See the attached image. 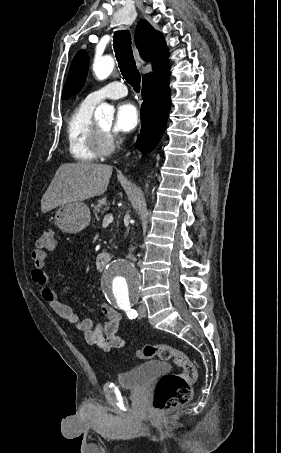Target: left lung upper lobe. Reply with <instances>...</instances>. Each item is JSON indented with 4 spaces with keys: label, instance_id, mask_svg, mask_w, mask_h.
Returning <instances> with one entry per match:
<instances>
[{
    "label": "left lung upper lobe",
    "instance_id": "1",
    "mask_svg": "<svg viewBox=\"0 0 281 453\" xmlns=\"http://www.w3.org/2000/svg\"><path fill=\"white\" fill-rule=\"evenodd\" d=\"M88 62V54L84 50L75 55L63 88L62 99L71 97L83 87L87 76Z\"/></svg>",
    "mask_w": 281,
    "mask_h": 453
}]
</instances>
